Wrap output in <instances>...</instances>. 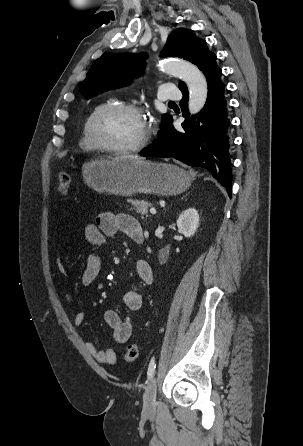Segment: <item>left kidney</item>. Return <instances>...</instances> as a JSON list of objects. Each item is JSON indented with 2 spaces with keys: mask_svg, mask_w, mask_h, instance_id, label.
I'll use <instances>...</instances> for the list:
<instances>
[{
  "mask_svg": "<svg viewBox=\"0 0 303 446\" xmlns=\"http://www.w3.org/2000/svg\"><path fill=\"white\" fill-rule=\"evenodd\" d=\"M199 225V214L195 208L183 211L177 219V227L185 237H192Z\"/></svg>",
  "mask_w": 303,
  "mask_h": 446,
  "instance_id": "obj_1",
  "label": "left kidney"
}]
</instances>
